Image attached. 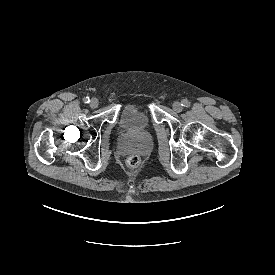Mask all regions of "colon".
Wrapping results in <instances>:
<instances>
[{"instance_id":"obj_1","label":"colon","mask_w":275,"mask_h":275,"mask_svg":"<svg viewBox=\"0 0 275 275\" xmlns=\"http://www.w3.org/2000/svg\"><path fill=\"white\" fill-rule=\"evenodd\" d=\"M139 163H140V157L136 154L129 156L127 159V165L130 168L137 167L139 165Z\"/></svg>"}]
</instances>
